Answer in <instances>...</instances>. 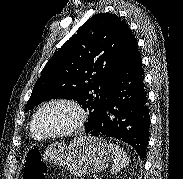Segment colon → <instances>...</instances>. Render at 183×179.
Instances as JSON below:
<instances>
[{"label": "colon", "instance_id": "5ec220e1", "mask_svg": "<svg viewBox=\"0 0 183 179\" xmlns=\"http://www.w3.org/2000/svg\"><path fill=\"white\" fill-rule=\"evenodd\" d=\"M45 165L37 149L28 152L25 160L23 179H45Z\"/></svg>", "mask_w": 183, "mask_h": 179}]
</instances>
